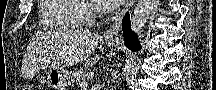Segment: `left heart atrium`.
<instances>
[{
    "instance_id": "39dd6f15",
    "label": "left heart atrium",
    "mask_w": 216,
    "mask_h": 90,
    "mask_svg": "<svg viewBox=\"0 0 216 90\" xmlns=\"http://www.w3.org/2000/svg\"><path fill=\"white\" fill-rule=\"evenodd\" d=\"M100 10H117V7H121L123 0H96Z\"/></svg>"
}]
</instances>
